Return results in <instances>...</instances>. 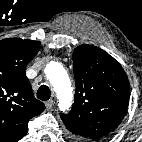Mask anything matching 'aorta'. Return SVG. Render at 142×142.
<instances>
[{
  "mask_svg": "<svg viewBox=\"0 0 142 142\" xmlns=\"http://www.w3.org/2000/svg\"><path fill=\"white\" fill-rule=\"evenodd\" d=\"M46 76L57 94L60 110L69 109L73 93L67 71L63 65L59 62H51L46 66Z\"/></svg>",
  "mask_w": 142,
  "mask_h": 142,
  "instance_id": "aorta-1",
  "label": "aorta"
}]
</instances>
